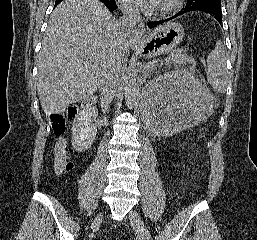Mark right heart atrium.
I'll return each mask as SVG.
<instances>
[{"label": "right heart atrium", "instance_id": "obj_1", "mask_svg": "<svg viewBox=\"0 0 257 240\" xmlns=\"http://www.w3.org/2000/svg\"><path fill=\"white\" fill-rule=\"evenodd\" d=\"M120 2V6L122 8V10L130 15V16H134L137 13V9L134 6V4L131 2V0H119Z\"/></svg>", "mask_w": 257, "mask_h": 240}]
</instances>
